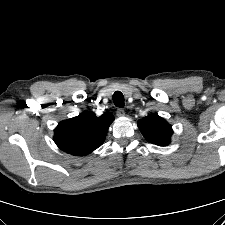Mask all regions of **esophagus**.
Listing matches in <instances>:
<instances>
[{"instance_id": "esophagus-1", "label": "esophagus", "mask_w": 225, "mask_h": 225, "mask_svg": "<svg viewBox=\"0 0 225 225\" xmlns=\"http://www.w3.org/2000/svg\"><path fill=\"white\" fill-rule=\"evenodd\" d=\"M116 114L118 117H124L125 116V112L122 108H118L116 111Z\"/></svg>"}]
</instances>
